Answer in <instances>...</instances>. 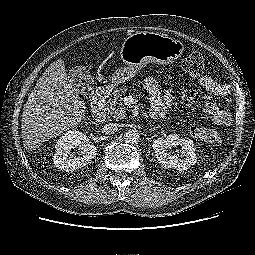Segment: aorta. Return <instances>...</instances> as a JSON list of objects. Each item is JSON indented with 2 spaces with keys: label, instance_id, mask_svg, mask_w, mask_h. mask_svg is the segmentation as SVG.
Returning a JSON list of instances; mask_svg holds the SVG:
<instances>
[{
  "label": "aorta",
  "instance_id": "1",
  "mask_svg": "<svg viewBox=\"0 0 255 255\" xmlns=\"http://www.w3.org/2000/svg\"><path fill=\"white\" fill-rule=\"evenodd\" d=\"M140 134L136 129H129L124 134V140L126 143L135 144L139 141Z\"/></svg>",
  "mask_w": 255,
  "mask_h": 255
}]
</instances>
